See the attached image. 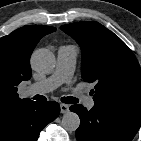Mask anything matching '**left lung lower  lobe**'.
Instances as JSON below:
<instances>
[{
    "label": "left lung lower lobe",
    "mask_w": 141,
    "mask_h": 141,
    "mask_svg": "<svg viewBox=\"0 0 141 141\" xmlns=\"http://www.w3.org/2000/svg\"><path fill=\"white\" fill-rule=\"evenodd\" d=\"M70 110L80 117L77 141H131L141 125V118L97 105L88 111L77 104L71 106Z\"/></svg>",
    "instance_id": "0a47b994"
}]
</instances>
